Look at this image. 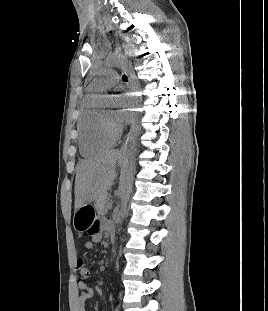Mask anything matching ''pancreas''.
<instances>
[{
    "label": "pancreas",
    "instance_id": "obj_1",
    "mask_svg": "<svg viewBox=\"0 0 268 311\" xmlns=\"http://www.w3.org/2000/svg\"><path fill=\"white\" fill-rule=\"evenodd\" d=\"M109 208H111V201L107 194H104L96 199L95 209L99 214H104Z\"/></svg>",
    "mask_w": 268,
    "mask_h": 311
}]
</instances>
